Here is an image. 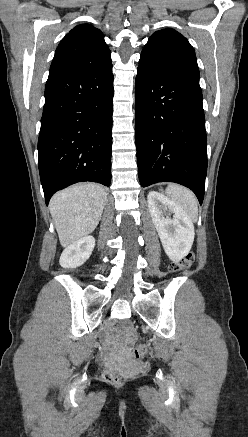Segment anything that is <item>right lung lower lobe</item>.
Segmentation results:
<instances>
[{
    "label": "right lung lower lobe",
    "instance_id": "right-lung-lower-lobe-1",
    "mask_svg": "<svg viewBox=\"0 0 248 437\" xmlns=\"http://www.w3.org/2000/svg\"><path fill=\"white\" fill-rule=\"evenodd\" d=\"M112 63L88 72L50 73L38 139L45 202L81 181L111 183Z\"/></svg>",
    "mask_w": 248,
    "mask_h": 437
}]
</instances>
